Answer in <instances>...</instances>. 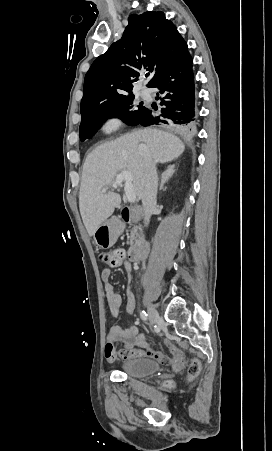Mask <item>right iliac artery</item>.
<instances>
[{"label": "right iliac artery", "instance_id": "obj_1", "mask_svg": "<svg viewBox=\"0 0 272 451\" xmlns=\"http://www.w3.org/2000/svg\"><path fill=\"white\" fill-rule=\"evenodd\" d=\"M140 316H141V319H142L144 322L147 321L148 315H147V313H146L144 310L140 312Z\"/></svg>", "mask_w": 272, "mask_h": 451}]
</instances>
